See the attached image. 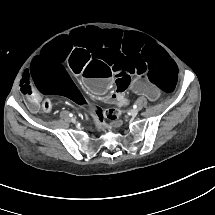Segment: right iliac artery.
<instances>
[{"instance_id":"right-iliac-artery-1","label":"right iliac artery","mask_w":215,"mask_h":215,"mask_svg":"<svg viewBox=\"0 0 215 215\" xmlns=\"http://www.w3.org/2000/svg\"><path fill=\"white\" fill-rule=\"evenodd\" d=\"M69 116H70V117H72V116H73V114L69 113Z\"/></svg>"}]
</instances>
